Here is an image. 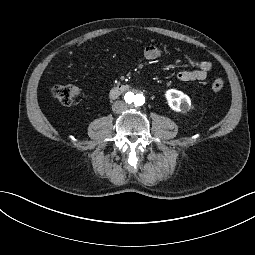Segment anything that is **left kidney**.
I'll return each instance as SVG.
<instances>
[{
  "instance_id": "left-kidney-1",
  "label": "left kidney",
  "mask_w": 255,
  "mask_h": 255,
  "mask_svg": "<svg viewBox=\"0 0 255 255\" xmlns=\"http://www.w3.org/2000/svg\"><path fill=\"white\" fill-rule=\"evenodd\" d=\"M165 97L174 112H185L191 107V99L180 90L169 89L165 92Z\"/></svg>"
}]
</instances>
